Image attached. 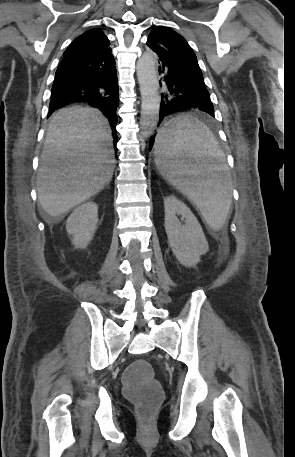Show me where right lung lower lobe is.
<instances>
[{
    "label": "right lung lower lobe",
    "instance_id": "1",
    "mask_svg": "<svg viewBox=\"0 0 295 457\" xmlns=\"http://www.w3.org/2000/svg\"><path fill=\"white\" fill-rule=\"evenodd\" d=\"M75 102H89L103 112L110 122L116 144L119 91L111 48L93 56L61 61L52 86L48 117L54 110Z\"/></svg>",
    "mask_w": 295,
    "mask_h": 457
}]
</instances>
